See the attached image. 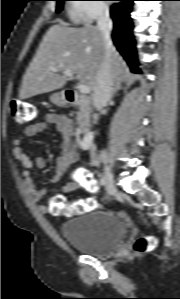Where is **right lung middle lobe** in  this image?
<instances>
[{"label": "right lung middle lobe", "mask_w": 180, "mask_h": 299, "mask_svg": "<svg viewBox=\"0 0 180 299\" xmlns=\"http://www.w3.org/2000/svg\"><path fill=\"white\" fill-rule=\"evenodd\" d=\"M58 1L57 3V7H56V12H60L62 10V7H63V1H66V0H56Z\"/></svg>", "instance_id": "obj_1"}]
</instances>
